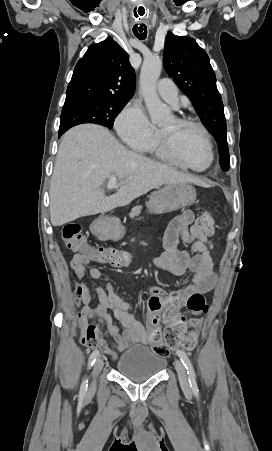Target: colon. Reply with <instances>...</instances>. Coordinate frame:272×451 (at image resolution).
Segmentation results:
<instances>
[{"label": "colon", "instance_id": "colon-1", "mask_svg": "<svg viewBox=\"0 0 272 451\" xmlns=\"http://www.w3.org/2000/svg\"><path fill=\"white\" fill-rule=\"evenodd\" d=\"M196 225L202 231L203 239H212L215 228V215L211 211L203 212L197 218ZM61 236L69 249L81 250L84 248L83 253L87 254L88 250L92 248V243L85 241V236L79 224H66L62 229ZM92 253L93 256H106V259L110 261L111 268H120L129 262V255L118 249L106 250V247H93ZM68 263L70 266L75 267L77 271H82L86 268L88 262L82 258H72ZM208 306V298L201 294H194L187 301V313H204ZM193 320L197 319L193 318ZM187 323V317L182 316L179 320L167 326L163 333L159 332L156 327H150L149 339L145 340V347L153 348L154 353L158 356H168L171 350L176 347H196V338H181L187 331ZM98 340L104 341L102 327L97 323L88 324L82 335L83 344L87 347H96Z\"/></svg>", "mask_w": 272, "mask_h": 451}]
</instances>
